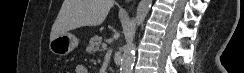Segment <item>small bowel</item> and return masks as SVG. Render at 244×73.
<instances>
[{"label": "small bowel", "instance_id": "c3829d8e", "mask_svg": "<svg viewBox=\"0 0 244 73\" xmlns=\"http://www.w3.org/2000/svg\"><path fill=\"white\" fill-rule=\"evenodd\" d=\"M75 72L76 73H88L87 68L82 64L76 66Z\"/></svg>", "mask_w": 244, "mask_h": 73}]
</instances>
